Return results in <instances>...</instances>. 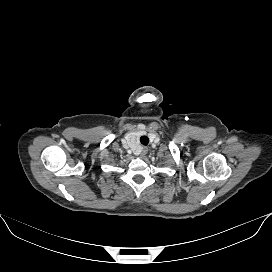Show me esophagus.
Returning a JSON list of instances; mask_svg holds the SVG:
<instances>
[{
    "mask_svg": "<svg viewBox=\"0 0 272 272\" xmlns=\"http://www.w3.org/2000/svg\"><path fill=\"white\" fill-rule=\"evenodd\" d=\"M147 153V148H145V147H143L142 149H141V152H140V155H145Z\"/></svg>",
    "mask_w": 272,
    "mask_h": 272,
    "instance_id": "34e87169",
    "label": "esophagus"
}]
</instances>
